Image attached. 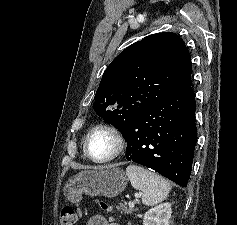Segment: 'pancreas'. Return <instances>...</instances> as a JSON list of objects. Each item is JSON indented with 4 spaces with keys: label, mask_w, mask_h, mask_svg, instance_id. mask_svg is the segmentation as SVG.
Here are the masks:
<instances>
[{
    "label": "pancreas",
    "mask_w": 237,
    "mask_h": 225,
    "mask_svg": "<svg viewBox=\"0 0 237 225\" xmlns=\"http://www.w3.org/2000/svg\"><path fill=\"white\" fill-rule=\"evenodd\" d=\"M116 208H117L118 211L123 212L125 214H131L133 211H136L135 209L128 208L123 204H119Z\"/></svg>",
    "instance_id": "obj_1"
}]
</instances>
